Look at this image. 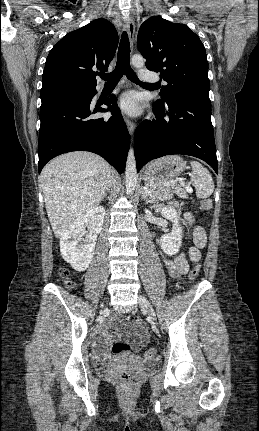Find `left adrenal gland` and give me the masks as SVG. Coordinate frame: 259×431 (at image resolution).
<instances>
[{
	"label": "left adrenal gland",
	"mask_w": 259,
	"mask_h": 431,
	"mask_svg": "<svg viewBox=\"0 0 259 431\" xmlns=\"http://www.w3.org/2000/svg\"><path fill=\"white\" fill-rule=\"evenodd\" d=\"M141 198L144 199L146 203H152V200H150L144 189L141 190Z\"/></svg>",
	"instance_id": "1"
}]
</instances>
